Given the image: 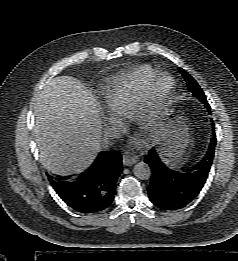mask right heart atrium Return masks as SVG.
<instances>
[{"label": "right heart atrium", "instance_id": "right-heart-atrium-1", "mask_svg": "<svg viewBox=\"0 0 238 261\" xmlns=\"http://www.w3.org/2000/svg\"><path fill=\"white\" fill-rule=\"evenodd\" d=\"M107 122L113 127H120L122 125V118L118 114L109 113Z\"/></svg>", "mask_w": 238, "mask_h": 261}]
</instances>
